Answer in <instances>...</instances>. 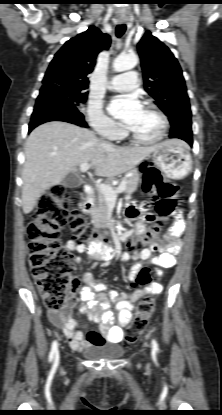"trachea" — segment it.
Returning <instances> with one entry per match:
<instances>
[{
  "label": "trachea",
  "instance_id": "3493384b",
  "mask_svg": "<svg viewBox=\"0 0 222 415\" xmlns=\"http://www.w3.org/2000/svg\"><path fill=\"white\" fill-rule=\"evenodd\" d=\"M126 31V25L125 24H120L116 27V36L118 38L122 37V35L125 33Z\"/></svg>",
  "mask_w": 222,
  "mask_h": 415
}]
</instances>
